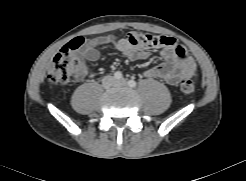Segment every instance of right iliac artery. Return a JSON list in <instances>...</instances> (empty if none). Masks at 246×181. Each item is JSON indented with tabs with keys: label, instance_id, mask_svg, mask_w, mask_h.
I'll return each mask as SVG.
<instances>
[{
	"label": "right iliac artery",
	"instance_id": "right-iliac-artery-1",
	"mask_svg": "<svg viewBox=\"0 0 246 181\" xmlns=\"http://www.w3.org/2000/svg\"><path fill=\"white\" fill-rule=\"evenodd\" d=\"M114 78L117 79V80H120L123 78V75L121 72L117 71L114 73Z\"/></svg>",
	"mask_w": 246,
	"mask_h": 181
}]
</instances>
